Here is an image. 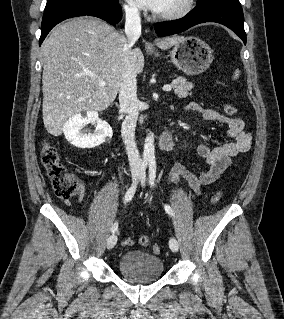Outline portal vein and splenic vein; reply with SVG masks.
Wrapping results in <instances>:
<instances>
[{
  "instance_id": "portal-vein-and-splenic-vein-1",
  "label": "portal vein and splenic vein",
  "mask_w": 284,
  "mask_h": 319,
  "mask_svg": "<svg viewBox=\"0 0 284 319\" xmlns=\"http://www.w3.org/2000/svg\"><path fill=\"white\" fill-rule=\"evenodd\" d=\"M99 85L100 86H104L105 85V81H100ZM172 86L173 85H164L162 89H163V91L169 92V91H171Z\"/></svg>"
}]
</instances>
